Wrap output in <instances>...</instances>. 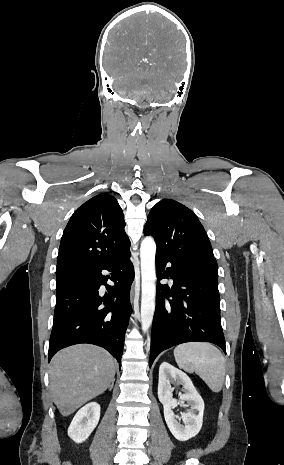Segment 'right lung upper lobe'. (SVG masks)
Segmentation results:
<instances>
[{
    "instance_id": "obj_1",
    "label": "right lung upper lobe",
    "mask_w": 284,
    "mask_h": 465,
    "mask_svg": "<svg viewBox=\"0 0 284 465\" xmlns=\"http://www.w3.org/2000/svg\"><path fill=\"white\" fill-rule=\"evenodd\" d=\"M125 221L117 200L101 193L71 216L61 239L57 257V281L103 265L130 245Z\"/></svg>"
}]
</instances>
